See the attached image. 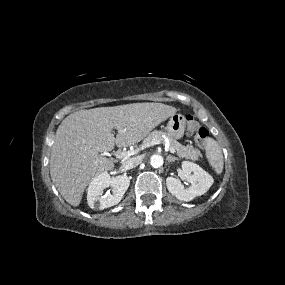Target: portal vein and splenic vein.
<instances>
[{
	"label": "portal vein and splenic vein",
	"instance_id": "portal-vein-and-splenic-vein-1",
	"mask_svg": "<svg viewBox=\"0 0 285 285\" xmlns=\"http://www.w3.org/2000/svg\"><path fill=\"white\" fill-rule=\"evenodd\" d=\"M160 143H161L160 140H154V141H152V142H150V143H145V144H143V145L141 146V150H143V149H145V148H147V147L156 145V144H160ZM168 149H169V151H170L171 153H175V152H176L175 149H173V148H171V147H169ZM131 155H132V152H129V151H127V152H125V151H117V152L115 153V156H116V158H118V159L128 158V157L131 156Z\"/></svg>",
	"mask_w": 285,
	"mask_h": 285
}]
</instances>
